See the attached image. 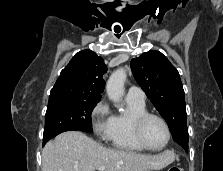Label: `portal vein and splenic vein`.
<instances>
[{
    "instance_id": "obj_1",
    "label": "portal vein and splenic vein",
    "mask_w": 223,
    "mask_h": 171,
    "mask_svg": "<svg viewBox=\"0 0 223 171\" xmlns=\"http://www.w3.org/2000/svg\"><path fill=\"white\" fill-rule=\"evenodd\" d=\"M104 169H105V166H100L99 167V171H104Z\"/></svg>"
}]
</instances>
